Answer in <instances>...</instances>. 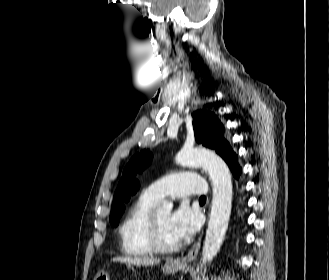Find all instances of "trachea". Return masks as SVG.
<instances>
[{
	"label": "trachea",
	"instance_id": "obj_1",
	"mask_svg": "<svg viewBox=\"0 0 329 280\" xmlns=\"http://www.w3.org/2000/svg\"><path fill=\"white\" fill-rule=\"evenodd\" d=\"M200 201H203V202L206 201V197L205 196H201L200 197Z\"/></svg>",
	"mask_w": 329,
	"mask_h": 280
}]
</instances>
